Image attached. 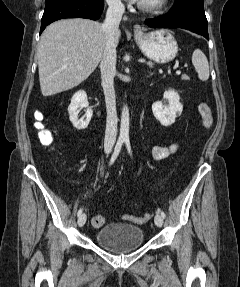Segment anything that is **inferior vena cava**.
Wrapping results in <instances>:
<instances>
[{
  "instance_id": "602c4592",
  "label": "inferior vena cava",
  "mask_w": 240,
  "mask_h": 287,
  "mask_svg": "<svg viewBox=\"0 0 240 287\" xmlns=\"http://www.w3.org/2000/svg\"><path fill=\"white\" fill-rule=\"evenodd\" d=\"M108 9L103 24L106 44L102 54L100 70L101 85L103 87L107 120L105 130L104 147L112 148L117 136V111L114 89V77L116 75V42L118 39V27L122 19L125 7L121 0H106Z\"/></svg>"
}]
</instances>
